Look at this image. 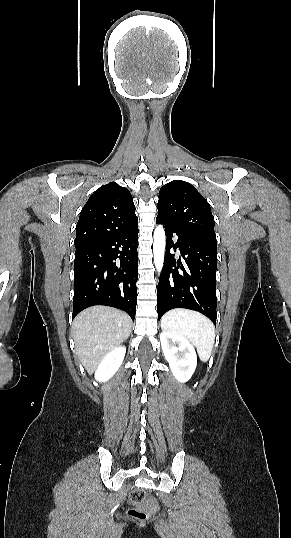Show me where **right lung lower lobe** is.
I'll use <instances>...</instances> for the list:
<instances>
[{
    "label": "right lung lower lobe",
    "mask_w": 291,
    "mask_h": 538,
    "mask_svg": "<svg viewBox=\"0 0 291 538\" xmlns=\"http://www.w3.org/2000/svg\"><path fill=\"white\" fill-rule=\"evenodd\" d=\"M137 247L138 227L135 226L106 240L76 248L73 317L87 307L107 305L135 318Z\"/></svg>",
    "instance_id": "98d812e1"
}]
</instances>
